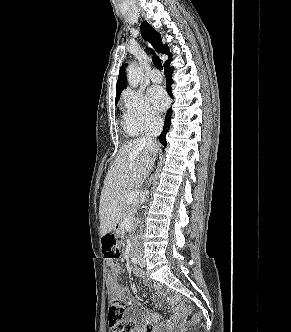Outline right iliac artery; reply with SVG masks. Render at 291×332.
<instances>
[{
  "label": "right iliac artery",
  "instance_id": "right-iliac-artery-1",
  "mask_svg": "<svg viewBox=\"0 0 291 332\" xmlns=\"http://www.w3.org/2000/svg\"><path fill=\"white\" fill-rule=\"evenodd\" d=\"M132 262H133L134 264H137V262H138L137 257H133V258H132Z\"/></svg>",
  "mask_w": 291,
  "mask_h": 332
}]
</instances>
